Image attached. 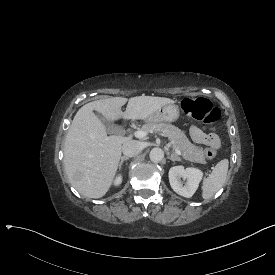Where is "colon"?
Returning <instances> with one entry per match:
<instances>
[{
	"mask_svg": "<svg viewBox=\"0 0 275 275\" xmlns=\"http://www.w3.org/2000/svg\"><path fill=\"white\" fill-rule=\"evenodd\" d=\"M182 113L194 120L205 124L209 129L214 130V123L220 118L221 111L214 107L206 98H186L180 104ZM205 157L213 159L216 157V148H207L204 152Z\"/></svg>",
	"mask_w": 275,
	"mask_h": 275,
	"instance_id": "colon-1",
	"label": "colon"
}]
</instances>
